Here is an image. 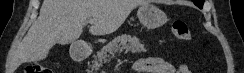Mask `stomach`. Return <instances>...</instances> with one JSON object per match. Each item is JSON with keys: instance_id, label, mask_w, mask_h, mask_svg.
Here are the masks:
<instances>
[{"instance_id": "1", "label": "stomach", "mask_w": 244, "mask_h": 73, "mask_svg": "<svg viewBox=\"0 0 244 73\" xmlns=\"http://www.w3.org/2000/svg\"><path fill=\"white\" fill-rule=\"evenodd\" d=\"M137 15L142 25L148 29L161 27L167 22V15L150 3L142 4L138 9Z\"/></svg>"}]
</instances>
